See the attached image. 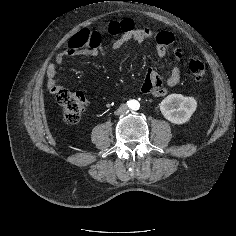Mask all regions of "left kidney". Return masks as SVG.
Wrapping results in <instances>:
<instances>
[{
    "label": "left kidney",
    "instance_id": "5707ae66",
    "mask_svg": "<svg viewBox=\"0 0 236 236\" xmlns=\"http://www.w3.org/2000/svg\"><path fill=\"white\" fill-rule=\"evenodd\" d=\"M196 108V99L181 94L168 95L160 103L162 115L174 124H183L189 121Z\"/></svg>",
    "mask_w": 236,
    "mask_h": 236
}]
</instances>
